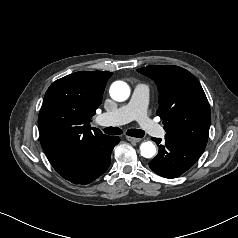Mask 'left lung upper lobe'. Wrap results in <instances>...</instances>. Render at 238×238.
I'll use <instances>...</instances> for the list:
<instances>
[{
    "label": "left lung upper lobe",
    "mask_w": 238,
    "mask_h": 238,
    "mask_svg": "<svg viewBox=\"0 0 238 238\" xmlns=\"http://www.w3.org/2000/svg\"><path fill=\"white\" fill-rule=\"evenodd\" d=\"M155 81L165 136H172L206 147L211 112L207 97L197 78L174 65H150L137 69Z\"/></svg>",
    "instance_id": "1"
}]
</instances>
